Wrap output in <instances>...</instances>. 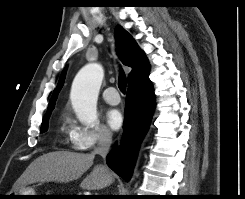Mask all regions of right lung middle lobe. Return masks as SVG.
<instances>
[{"instance_id": "right-lung-middle-lobe-1", "label": "right lung middle lobe", "mask_w": 245, "mask_h": 199, "mask_svg": "<svg viewBox=\"0 0 245 199\" xmlns=\"http://www.w3.org/2000/svg\"><path fill=\"white\" fill-rule=\"evenodd\" d=\"M51 114L45 116L43 118V121H42V125H41V132H45L47 130V127H48V119L50 117Z\"/></svg>"}]
</instances>
